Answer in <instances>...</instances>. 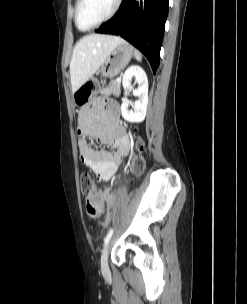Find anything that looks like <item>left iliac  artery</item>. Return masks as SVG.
Wrapping results in <instances>:
<instances>
[{
    "label": "left iliac artery",
    "instance_id": "obj_1",
    "mask_svg": "<svg viewBox=\"0 0 247 304\" xmlns=\"http://www.w3.org/2000/svg\"><path fill=\"white\" fill-rule=\"evenodd\" d=\"M113 232H114V229L111 228V229L109 230L107 236H106L105 239H104L105 246L107 245V243L109 242L110 238L112 237Z\"/></svg>",
    "mask_w": 247,
    "mask_h": 304
}]
</instances>
